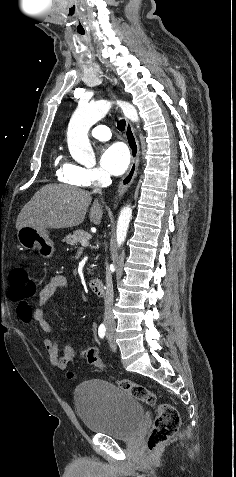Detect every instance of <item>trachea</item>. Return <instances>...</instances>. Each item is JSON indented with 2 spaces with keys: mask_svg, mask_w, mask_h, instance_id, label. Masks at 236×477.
I'll return each instance as SVG.
<instances>
[{
  "mask_svg": "<svg viewBox=\"0 0 236 477\" xmlns=\"http://www.w3.org/2000/svg\"><path fill=\"white\" fill-rule=\"evenodd\" d=\"M125 125H126L125 120L121 119V120L117 121V127L120 131H124Z\"/></svg>",
  "mask_w": 236,
  "mask_h": 477,
  "instance_id": "1",
  "label": "trachea"
}]
</instances>
